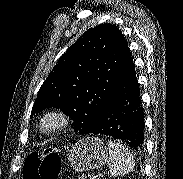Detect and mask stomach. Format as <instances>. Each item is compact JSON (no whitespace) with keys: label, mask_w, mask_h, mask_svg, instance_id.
Wrapping results in <instances>:
<instances>
[{"label":"stomach","mask_w":183,"mask_h":179,"mask_svg":"<svg viewBox=\"0 0 183 179\" xmlns=\"http://www.w3.org/2000/svg\"><path fill=\"white\" fill-rule=\"evenodd\" d=\"M108 159L107 148L96 137H86L78 141L69 151L68 160L76 171H88L99 168Z\"/></svg>","instance_id":"1"}]
</instances>
